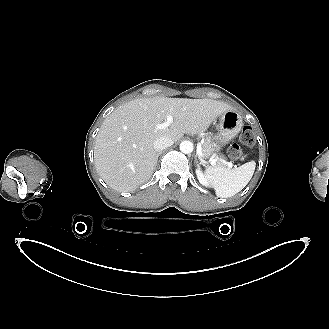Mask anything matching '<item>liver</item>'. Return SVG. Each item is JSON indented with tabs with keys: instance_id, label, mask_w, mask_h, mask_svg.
Returning <instances> with one entry per match:
<instances>
[{
	"instance_id": "1",
	"label": "liver",
	"mask_w": 329,
	"mask_h": 329,
	"mask_svg": "<svg viewBox=\"0 0 329 329\" xmlns=\"http://www.w3.org/2000/svg\"><path fill=\"white\" fill-rule=\"evenodd\" d=\"M228 104L212 99L139 98L118 106L102 123L94 147L95 167L112 189L133 191L146 183L157 164L154 142L165 136L177 141L199 134L225 112ZM173 117L170 128L155 126Z\"/></svg>"
}]
</instances>
